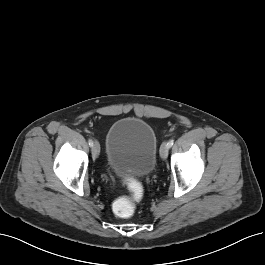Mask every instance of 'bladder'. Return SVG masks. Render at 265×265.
Instances as JSON below:
<instances>
[{
    "label": "bladder",
    "instance_id": "1",
    "mask_svg": "<svg viewBox=\"0 0 265 265\" xmlns=\"http://www.w3.org/2000/svg\"><path fill=\"white\" fill-rule=\"evenodd\" d=\"M156 156V134L145 120L123 117L110 126L106 136V159L117 175L146 177L155 167Z\"/></svg>",
    "mask_w": 265,
    "mask_h": 265
}]
</instances>
